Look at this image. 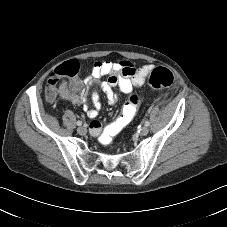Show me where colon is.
I'll return each mask as SVG.
<instances>
[{
    "instance_id": "obj_1",
    "label": "colon",
    "mask_w": 227,
    "mask_h": 227,
    "mask_svg": "<svg viewBox=\"0 0 227 227\" xmlns=\"http://www.w3.org/2000/svg\"><path fill=\"white\" fill-rule=\"evenodd\" d=\"M79 65L75 61L67 62L62 68L53 72L47 83L46 95L48 98L55 97L56 86L60 83L72 85L78 76ZM131 74L134 71L130 72ZM174 83V75L171 70L165 67H158L152 70L148 77V85L153 89H161L172 86ZM141 97L138 94H131L126 101L122 112L116 120L100 134V141L103 144L112 143L118 133L126 127L131 120L136 116L140 104Z\"/></svg>"
}]
</instances>
